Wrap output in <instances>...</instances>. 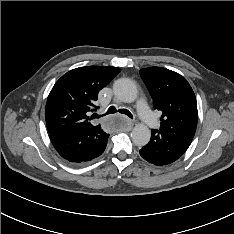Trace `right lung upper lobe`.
I'll return each mask as SVG.
<instances>
[{
	"label": "right lung upper lobe",
	"instance_id": "obj_1",
	"mask_svg": "<svg viewBox=\"0 0 234 234\" xmlns=\"http://www.w3.org/2000/svg\"><path fill=\"white\" fill-rule=\"evenodd\" d=\"M120 72L117 67L87 66L64 74L53 86L46 103L45 118L50 134L79 126H93L98 92Z\"/></svg>",
	"mask_w": 234,
	"mask_h": 234
}]
</instances>
